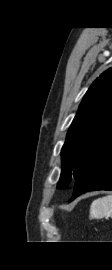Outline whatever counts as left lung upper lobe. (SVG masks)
Masks as SVG:
<instances>
[{
  "label": "left lung upper lobe",
  "mask_w": 112,
  "mask_h": 270,
  "mask_svg": "<svg viewBox=\"0 0 112 270\" xmlns=\"http://www.w3.org/2000/svg\"><path fill=\"white\" fill-rule=\"evenodd\" d=\"M112 148V67L86 92L61 150L57 187L66 188Z\"/></svg>",
  "instance_id": "1"
}]
</instances>
